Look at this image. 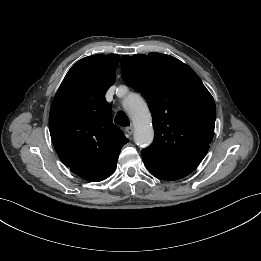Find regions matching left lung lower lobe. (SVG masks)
I'll return each mask as SVG.
<instances>
[{
	"instance_id": "0a47b994",
	"label": "left lung lower lobe",
	"mask_w": 261,
	"mask_h": 261,
	"mask_svg": "<svg viewBox=\"0 0 261 261\" xmlns=\"http://www.w3.org/2000/svg\"><path fill=\"white\" fill-rule=\"evenodd\" d=\"M142 159L148 171L154 176H156L157 178H160L162 180H166V181L177 180L187 176L192 172L188 170L167 168L157 164L156 162L148 158L142 157Z\"/></svg>"
}]
</instances>
